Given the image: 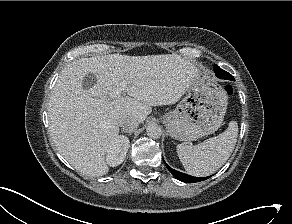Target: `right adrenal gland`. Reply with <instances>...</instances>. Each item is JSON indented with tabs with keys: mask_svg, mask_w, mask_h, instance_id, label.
<instances>
[{
	"mask_svg": "<svg viewBox=\"0 0 292 224\" xmlns=\"http://www.w3.org/2000/svg\"><path fill=\"white\" fill-rule=\"evenodd\" d=\"M121 132H122V133H128L129 135L132 134V132H130V131H124V130H122Z\"/></svg>",
	"mask_w": 292,
	"mask_h": 224,
	"instance_id": "1",
	"label": "right adrenal gland"
}]
</instances>
